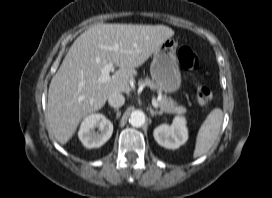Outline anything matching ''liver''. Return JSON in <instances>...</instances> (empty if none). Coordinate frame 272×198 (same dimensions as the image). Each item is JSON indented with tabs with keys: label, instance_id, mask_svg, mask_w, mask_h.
Here are the masks:
<instances>
[{
	"label": "liver",
	"instance_id": "liver-1",
	"mask_svg": "<svg viewBox=\"0 0 272 198\" xmlns=\"http://www.w3.org/2000/svg\"><path fill=\"white\" fill-rule=\"evenodd\" d=\"M174 35L164 25L98 23L72 44L49 85L47 118L56 140L64 145L81 120L100 110L113 93L129 91L136 68ZM114 44L118 51L110 50ZM107 63L119 67L109 82H100Z\"/></svg>",
	"mask_w": 272,
	"mask_h": 198
}]
</instances>
